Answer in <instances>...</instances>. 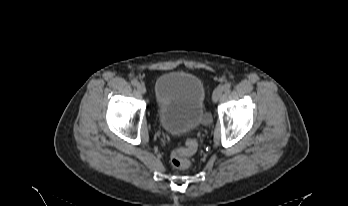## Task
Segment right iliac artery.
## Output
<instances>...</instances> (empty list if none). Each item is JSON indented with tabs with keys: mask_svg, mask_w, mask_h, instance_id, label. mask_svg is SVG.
Segmentation results:
<instances>
[{
	"mask_svg": "<svg viewBox=\"0 0 348 206\" xmlns=\"http://www.w3.org/2000/svg\"><path fill=\"white\" fill-rule=\"evenodd\" d=\"M131 84H132L133 86H138L139 82H138L136 79H133V80L131 81Z\"/></svg>",
	"mask_w": 348,
	"mask_h": 206,
	"instance_id": "82829eb1",
	"label": "right iliac artery"
}]
</instances>
